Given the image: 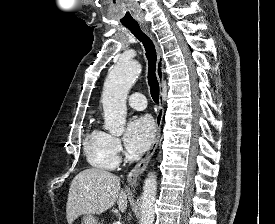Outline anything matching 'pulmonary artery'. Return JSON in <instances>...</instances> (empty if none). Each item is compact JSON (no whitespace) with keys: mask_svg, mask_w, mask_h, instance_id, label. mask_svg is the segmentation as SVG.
Returning <instances> with one entry per match:
<instances>
[{"mask_svg":"<svg viewBox=\"0 0 275 224\" xmlns=\"http://www.w3.org/2000/svg\"><path fill=\"white\" fill-rule=\"evenodd\" d=\"M129 105L136 110H144L147 107V101L143 94L133 93L128 98Z\"/></svg>","mask_w":275,"mask_h":224,"instance_id":"1","label":"pulmonary artery"}]
</instances>
